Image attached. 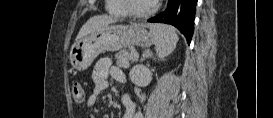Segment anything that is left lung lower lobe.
<instances>
[{
    "label": "left lung lower lobe",
    "instance_id": "1",
    "mask_svg": "<svg viewBox=\"0 0 273 118\" xmlns=\"http://www.w3.org/2000/svg\"><path fill=\"white\" fill-rule=\"evenodd\" d=\"M196 4L197 0H169L167 9L148 19V22L173 25L180 30L190 44L194 31Z\"/></svg>",
    "mask_w": 273,
    "mask_h": 118
}]
</instances>
